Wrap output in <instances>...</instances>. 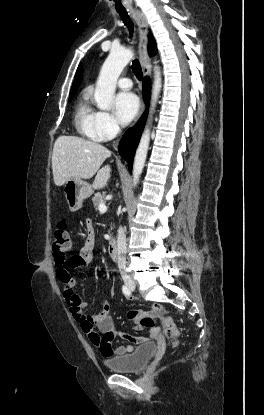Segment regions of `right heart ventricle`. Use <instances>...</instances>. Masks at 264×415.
<instances>
[{"mask_svg": "<svg viewBox=\"0 0 264 415\" xmlns=\"http://www.w3.org/2000/svg\"><path fill=\"white\" fill-rule=\"evenodd\" d=\"M99 112L92 106L87 93L78 101L74 112V125L80 135L92 141H103L98 126Z\"/></svg>", "mask_w": 264, "mask_h": 415, "instance_id": "e07e8e85", "label": "right heart ventricle"}]
</instances>
